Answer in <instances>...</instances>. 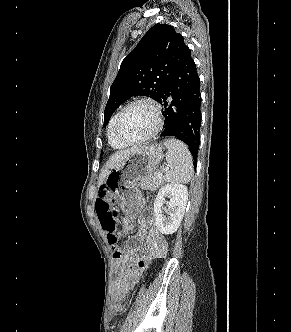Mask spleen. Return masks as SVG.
Wrapping results in <instances>:
<instances>
[{"label":"spleen","instance_id":"3e777b00","mask_svg":"<svg viewBox=\"0 0 291 332\" xmlns=\"http://www.w3.org/2000/svg\"><path fill=\"white\" fill-rule=\"evenodd\" d=\"M168 149L166 160L168 170L164 175V180L171 183L190 182L194 168L193 158L188 147L178 139H168L164 142Z\"/></svg>","mask_w":291,"mask_h":332}]
</instances>
